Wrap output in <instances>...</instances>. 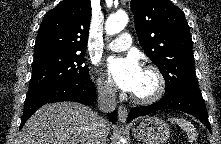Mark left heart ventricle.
Here are the masks:
<instances>
[{"mask_svg":"<svg viewBox=\"0 0 221 144\" xmlns=\"http://www.w3.org/2000/svg\"><path fill=\"white\" fill-rule=\"evenodd\" d=\"M156 80L151 73L142 72V76L137 89L133 92L137 96H148L155 90Z\"/></svg>","mask_w":221,"mask_h":144,"instance_id":"left-heart-ventricle-1","label":"left heart ventricle"}]
</instances>
